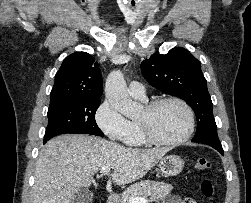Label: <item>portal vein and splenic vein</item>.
<instances>
[{
	"mask_svg": "<svg viewBox=\"0 0 251 203\" xmlns=\"http://www.w3.org/2000/svg\"><path fill=\"white\" fill-rule=\"evenodd\" d=\"M110 170H111V168H109V167H102L100 169V172L102 174H108L110 172ZM147 202H148V200L144 197H133L130 200V203H147Z\"/></svg>",
	"mask_w": 251,
	"mask_h": 203,
	"instance_id": "1",
	"label": "portal vein and splenic vein"
}]
</instances>
